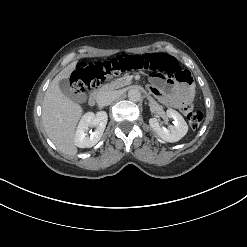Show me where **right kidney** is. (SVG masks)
<instances>
[{"label": "right kidney", "mask_w": 247, "mask_h": 247, "mask_svg": "<svg viewBox=\"0 0 247 247\" xmlns=\"http://www.w3.org/2000/svg\"><path fill=\"white\" fill-rule=\"evenodd\" d=\"M108 116L105 111H99L96 114L88 112L81 118L75 132L74 143L79 148H91L102 137L107 124ZM89 127H96L95 131L87 135Z\"/></svg>", "instance_id": "1"}]
</instances>
